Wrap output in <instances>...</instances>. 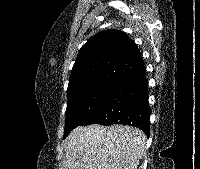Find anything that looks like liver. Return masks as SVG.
<instances>
[{
	"instance_id": "6515ba94",
	"label": "liver",
	"mask_w": 200,
	"mask_h": 169,
	"mask_svg": "<svg viewBox=\"0 0 200 169\" xmlns=\"http://www.w3.org/2000/svg\"><path fill=\"white\" fill-rule=\"evenodd\" d=\"M145 143L138 128L79 126L65 140L63 169H137Z\"/></svg>"
}]
</instances>
